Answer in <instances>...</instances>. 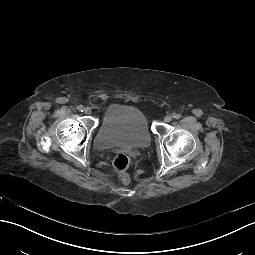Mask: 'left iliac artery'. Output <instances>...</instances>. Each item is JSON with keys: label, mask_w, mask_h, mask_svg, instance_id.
<instances>
[{"label": "left iliac artery", "mask_w": 255, "mask_h": 255, "mask_svg": "<svg viewBox=\"0 0 255 255\" xmlns=\"http://www.w3.org/2000/svg\"><path fill=\"white\" fill-rule=\"evenodd\" d=\"M173 118L179 119V118H181V115H180V114H177V113H174V114H173Z\"/></svg>", "instance_id": "obj_1"}]
</instances>
